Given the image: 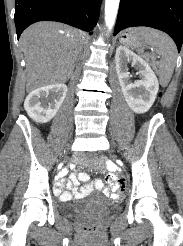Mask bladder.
I'll return each instance as SVG.
<instances>
[{"label":"bladder","instance_id":"obj_1","mask_svg":"<svg viewBox=\"0 0 183 246\" xmlns=\"http://www.w3.org/2000/svg\"><path fill=\"white\" fill-rule=\"evenodd\" d=\"M89 202L86 200L77 201L74 204L67 205L63 208V212L69 216H76L83 213L88 208ZM111 210L115 209V205H110Z\"/></svg>","mask_w":183,"mask_h":246}]
</instances>
